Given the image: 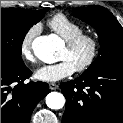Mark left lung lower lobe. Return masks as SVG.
<instances>
[{"instance_id":"obj_1","label":"left lung lower lobe","mask_w":123,"mask_h":123,"mask_svg":"<svg viewBox=\"0 0 123 123\" xmlns=\"http://www.w3.org/2000/svg\"><path fill=\"white\" fill-rule=\"evenodd\" d=\"M62 123H123V62H111L61 84Z\"/></svg>"}]
</instances>
